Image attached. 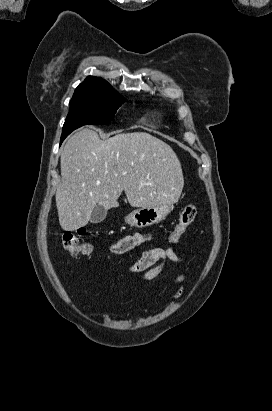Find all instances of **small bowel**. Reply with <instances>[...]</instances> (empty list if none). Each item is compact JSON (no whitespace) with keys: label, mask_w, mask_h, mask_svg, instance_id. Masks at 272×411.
Here are the masks:
<instances>
[{"label":"small bowel","mask_w":272,"mask_h":411,"mask_svg":"<svg viewBox=\"0 0 272 411\" xmlns=\"http://www.w3.org/2000/svg\"><path fill=\"white\" fill-rule=\"evenodd\" d=\"M148 240H150L149 234H129L115 242L111 246V251L115 254H122L140 246ZM167 262H181V258L177 255L174 247L150 249L143 253L138 260L133 262L130 269L134 274L139 275L142 280L149 281L160 274ZM180 280L181 278H177L174 283L177 284ZM182 291L183 288L180 287L173 296L178 297Z\"/></svg>","instance_id":"c3829d8e"}]
</instances>
